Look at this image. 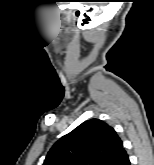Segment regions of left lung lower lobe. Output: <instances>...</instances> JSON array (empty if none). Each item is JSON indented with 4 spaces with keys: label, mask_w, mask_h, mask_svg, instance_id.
I'll return each mask as SVG.
<instances>
[{
    "label": "left lung lower lobe",
    "mask_w": 154,
    "mask_h": 165,
    "mask_svg": "<svg viewBox=\"0 0 154 165\" xmlns=\"http://www.w3.org/2000/svg\"><path fill=\"white\" fill-rule=\"evenodd\" d=\"M117 165H130L128 155L124 149L121 152V157H120Z\"/></svg>",
    "instance_id": "1"
}]
</instances>
